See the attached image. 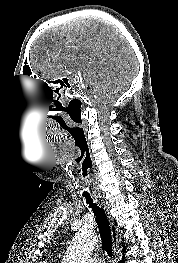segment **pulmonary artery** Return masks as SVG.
<instances>
[{
    "label": "pulmonary artery",
    "mask_w": 178,
    "mask_h": 263,
    "mask_svg": "<svg viewBox=\"0 0 178 263\" xmlns=\"http://www.w3.org/2000/svg\"><path fill=\"white\" fill-rule=\"evenodd\" d=\"M87 263H104V261L99 256H92L87 260Z\"/></svg>",
    "instance_id": "pulmonary-artery-1"
}]
</instances>
